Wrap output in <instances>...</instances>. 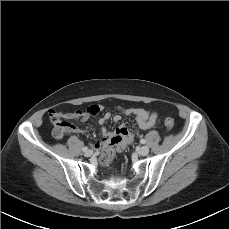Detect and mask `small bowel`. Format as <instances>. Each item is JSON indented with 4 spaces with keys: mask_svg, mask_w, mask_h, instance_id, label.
Segmentation results:
<instances>
[{
    "mask_svg": "<svg viewBox=\"0 0 229 229\" xmlns=\"http://www.w3.org/2000/svg\"><path fill=\"white\" fill-rule=\"evenodd\" d=\"M124 115H133L136 120L137 127L141 130H147L152 128L156 124V116L150 111L143 108H119ZM88 114L85 111L77 110L75 112L66 115L70 119H82L87 120ZM111 118L109 113L103 114L99 119V124L103 125L106 121ZM114 122H119L121 120L120 115H114L112 117ZM69 130L75 133H83L84 130L76 127L70 126ZM102 141L96 142L94 148L105 151L111 144L113 137L120 135L123 137L122 144L131 143L135 138V133L130 131L125 125H120L114 133L108 131L105 127L101 128Z\"/></svg>",
    "mask_w": 229,
    "mask_h": 229,
    "instance_id": "obj_1",
    "label": "small bowel"
}]
</instances>
